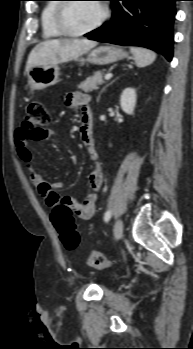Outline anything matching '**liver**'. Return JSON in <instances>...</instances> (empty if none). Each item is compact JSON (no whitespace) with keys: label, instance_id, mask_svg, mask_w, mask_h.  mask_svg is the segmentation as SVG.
Instances as JSON below:
<instances>
[{"label":"liver","instance_id":"6515ba94","mask_svg":"<svg viewBox=\"0 0 193 349\" xmlns=\"http://www.w3.org/2000/svg\"><path fill=\"white\" fill-rule=\"evenodd\" d=\"M97 45L87 39H53L36 45L29 54L25 73L35 66H47L78 59Z\"/></svg>","mask_w":193,"mask_h":349}]
</instances>
